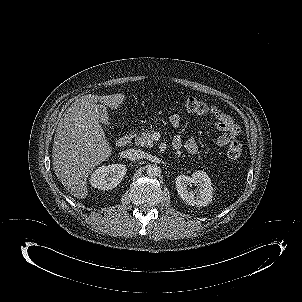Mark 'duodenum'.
<instances>
[{
    "instance_id": "obj_1",
    "label": "duodenum",
    "mask_w": 302,
    "mask_h": 302,
    "mask_svg": "<svg viewBox=\"0 0 302 302\" xmlns=\"http://www.w3.org/2000/svg\"><path fill=\"white\" fill-rule=\"evenodd\" d=\"M135 135H136V132L134 130H131L127 134H125L124 136H122L121 138H119L118 141H117V144L119 146H126V145H128L129 143L132 142V140L134 139ZM174 145H175V147H179L178 146L179 144L177 142Z\"/></svg>"
}]
</instances>
